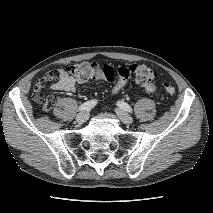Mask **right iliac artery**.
Instances as JSON below:
<instances>
[{"instance_id": "right-iliac-artery-1", "label": "right iliac artery", "mask_w": 213, "mask_h": 213, "mask_svg": "<svg viewBox=\"0 0 213 213\" xmlns=\"http://www.w3.org/2000/svg\"><path fill=\"white\" fill-rule=\"evenodd\" d=\"M97 104V100H90L87 101L85 103H83L80 107H79V111H84V110H90L91 108H93L95 105Z\"/></svg>"}]
</instances>
